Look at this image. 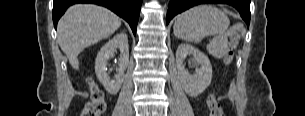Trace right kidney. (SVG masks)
Instances as JSON below:
<instances>
[{
    "label": "right kidney",
    "instance_id": "obj_1",
    "mask_svg": "<svg viewBox=\"0 0 305 116\" xmlns=\"http://www.w3.org/2000/svg\"><path fill=\"white\" fill-rule=\"evenodd\" d=\"M121 54L118 61V70L114 79H110L107 74V63L110 57L114 56L116 49ZM129 63L128 37L125 33H119L110 39L98 52L95 61V72L99 81L110 94H116L124 80V71Z\"/></svg>",
    "mask_w": 305,
    "mask_h": 116
}]
</instances>
